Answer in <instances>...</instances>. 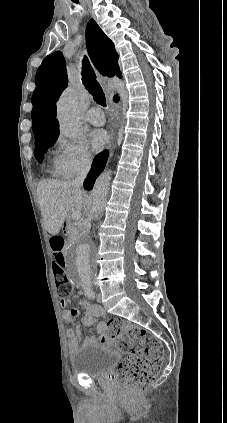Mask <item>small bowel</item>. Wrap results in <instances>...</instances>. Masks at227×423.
<instances>
[{
    "instance_id": "small-bowel-1",
    "label": "small bowel",
    "mask_w": 227,
    "mask_h": 423,
    "mask_svg": "<svg viewBox=\"0 0 227 423\" xmlns=\"http://www.w3.org/2000/svg\"><path fill=\"white\" fill-rule=\"evenodd\" d=\"M64 256V255H63ZM60 306L64 309L63 311V318L67 324H72L78 315V311L75 309H67V301L65 298L60 299ZM81 307L85 310V316L83 319V324L86 327H91L95 324L98 318L105 317V311L102 306L99 304H93L88 300H82L80 302ZM107 325L104 321L99 322L97 325V330L100 334L99 342L100 343H107L109 341V337L106 334ZM67 337L69 340V347L71 351H75L78 347L80 337H81V329L80 327H76L75 329L68 330ZM86 343H95L97 342L96 339L92 337H88L85 340Z\"/></svg>"
}]
</instances>
